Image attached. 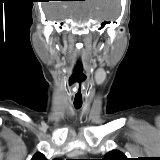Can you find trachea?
Listing matches in <instances>:
<instances>
[{
	"label": "trachea",
	"mask_w": 160,
	"mask_h": 160,
	"mask_svg": "<svg viewBox=\"0 0 160 160\" xmlns=\"http://www.w3.org/2000/svg\"><path fill=\"white\" fill-rule=\"evenodd\" d=\"M76 109H79L81 105H74Z\"/></svg>",
	"instance_id": "obj_1"
}]
</instances>
